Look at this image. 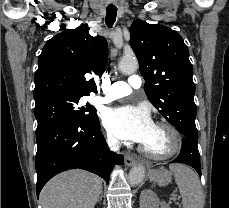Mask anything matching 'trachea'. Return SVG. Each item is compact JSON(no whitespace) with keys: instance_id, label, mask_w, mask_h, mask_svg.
I'll list each match as a JSON object with an SVG mask.
<instances>
[{"instance_id":"3493384b","label":"trachea","mask_w":229,"mask_h":208,"mask_svg":"<svg viewBox=\"0 0 229 208\" xmlns=\"http://www.w3.org/2000/svg\"><path fill=\"white\" fill-rule=\"evenodd\" d=\"M106 18L105 22L106 25L111 28L112 25H114V22L116 20V14H117V8L116 7H107L106 9Z\"/></svg>"}]
</instances>
